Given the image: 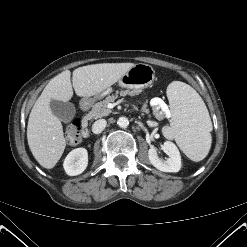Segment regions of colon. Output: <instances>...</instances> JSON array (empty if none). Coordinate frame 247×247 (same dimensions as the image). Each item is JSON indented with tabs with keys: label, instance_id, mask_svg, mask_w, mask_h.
Instances as JSON below:
<instances>
[{
	"label": "colon",
	"instance_id": "1",
	"mask_svg": "<svg viewBox=\"0 0 247 247\" xmlns=\"http://www.w3.org/2000/svg\"><path fill=\"white\" fill-rule=\"evenodd\" d=\"M65 138L69 145H76L82 140L80 120L75 119L66 126Z\"/></svg>",
	"mask_w": 247,
	"mask_h": 247
}]
</instances>
